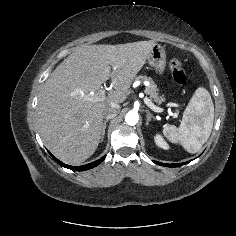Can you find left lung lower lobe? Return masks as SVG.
<instances>
[{
	"instance_id": "0a47b994",
	"label": "left lung lower lobe",
	"mask_w": 236,
	"mask_h": 236,
	"mask_svg": "<svg viewBox=\"0 0 236 236\" xmlns=\"http://www.w3.org/2000/svg\"><path fill=\"white\" fill-rule=\"evenodd\" d=\"M154 163H156V164H158V165H160V166L165 165V166H167V167H179V166H182V165H184V164H186V163H188V162L176 163V164H163V163H161V162L154 161Z\"/></svg>"
}]
</instances>
